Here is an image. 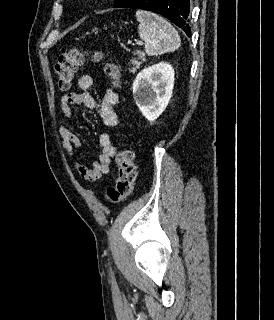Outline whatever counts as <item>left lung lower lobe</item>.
Listing matches in <instances>:
<instances>
[{
	"instance_id": "0a47b994",
	"label": "left lung lower lobe",
	"mask_w": 274,
	"mask_h": 320,
	"mask_svg": "<svg viewBox=\"0 0 274 320\" xmlns=\"http://www.w3.org/2000/svg\"><path fill=\"white\" fill-rule=\"evenodd\" d=\"M190 0H129L122 7L156 12L182 28L190 37Z\"/></svg>"
}]
</instances>
